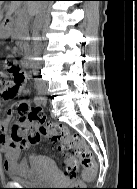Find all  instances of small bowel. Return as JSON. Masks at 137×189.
Segmentation results:
<instances>
[{
	"label": "small bowel",
	"instance_id": "1",
	"mask_svg": "<svg viewBox=\"0 0 137 189\" xmlns=\"http://www.w3.org/2000/svg\"><path fill=\"white\" fill-rule=\"evenodd\" d=\"M22 84L20 85L21 88ZM19 88V89H20ZM1 102V101H0ZM28 106L26 101H22L17 106L19 114L18 124L27 127L29 122L25 119L24 108ZM14 113L13 109L7 110L6 114L0 118V146L4 155V167L7 172L10 171H23L26 170L28 165L24 160H19L22 149L26 147L25 143L15 140L12 133L9 134V127L11 124V118ZM31 159L35 158V155L30 156Z\"/></svg>",
	"mask_w": 137,
	"mask_h": 189
}]
</instances>
